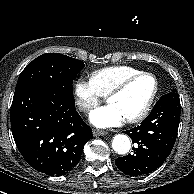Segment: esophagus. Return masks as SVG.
I'll list each match as a JSON object with an SVG mask.
<instances>
[{
	"label": "esophagus",
	"instance_id": "34e87169",
	"mask_svg": "<svg viewBox=\"0 0 194 194\" xmlns=\"http://www.w3.org/2000/svg\"><path fill=\"white\" fill-rule=\"evenodd\" d=\"M106 134H107V131L96 130V129L93 130V135L94 136H104Z\"/></svg>",
	"mask_w": 194,
	"mask_h": 194
}]
</instances>
